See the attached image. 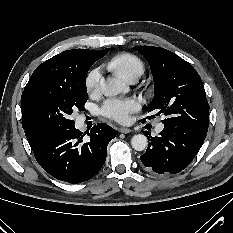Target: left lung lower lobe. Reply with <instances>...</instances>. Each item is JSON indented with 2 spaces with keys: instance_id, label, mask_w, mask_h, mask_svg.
<instances>
[{
  "instance_id": "obj_1",
  "label": "left lung lower lobe",
  "mask_w": 233,
  "mask_h": 233,
  "mask_svg": "<svg viewBox=\"0 0 233 233\" xmlns=\"http://www.w3.org/2000/svg\"><path fill=\"white\" fill-rule=\"evenodd\" d=\"M150 143L140 157L148 170L158 174L178 173L186 168L201 148L206 134L185 125H166L159 136L150 137Z\"/></svg>"
}]
</instances>
